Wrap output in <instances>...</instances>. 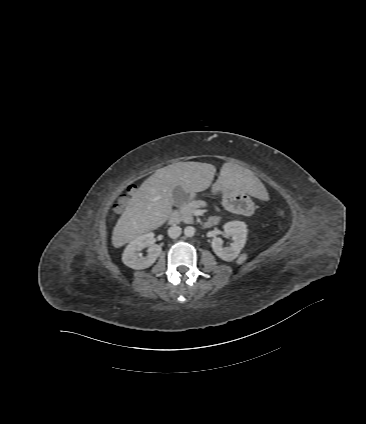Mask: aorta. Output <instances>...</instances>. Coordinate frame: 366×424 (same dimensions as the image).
Wrapping results in <instances>:
<instances>
[{"mask_svg": "<svg viewBox=\"0 0 366 424\" xmlns=\"http://www.w3.org/2000/svg\"><path fill=\"white\" fill-rule=\"evenodd\" d=\"M195 234V228L193 226H187L184 229V235L186 237H192Z\"/></svg>", "mask_w": 366, "mask_h": 424, "instance_id": "1", "label": "aorta"}]
</instances>
